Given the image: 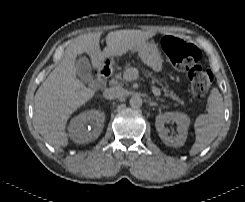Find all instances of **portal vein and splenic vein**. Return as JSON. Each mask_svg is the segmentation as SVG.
Listing matches in <instances>:
<instances>
[{
	"label": "portal vein and splenic vein",
	"mask_w": 245,
	"mask_h": 202,
	"mask_svg": "<svg viewBox=\"0 0 245 202\" xmlns=\"http://www.w3.org/2000/svg\"><path fill=\"white\" fill-rule=\"evenodd\" d=\"M123 77L126 81H134L138 78V70L136 68H129L124 72ZM152 91L155 96L161 95L160 90L154 86L152 87Z\"/></svg>",
	"instance_id": "1"
}]
</instances>
